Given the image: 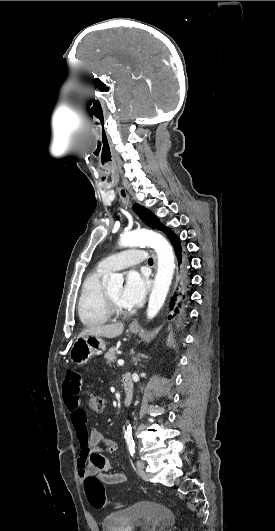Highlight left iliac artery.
<instances>
[{
	"mask_svg": "<svg viewBox=\"0 0 275 531\" xmlns=\"http://www.w3.org/2000/svg\"><path fill=\"white\" fill-rule=\"evenodd\" d=\"M127 447L130 455L133 457L135 454V443L132 439L127 440Z\"/></svg>",
	"mask_w": 275,
	"mask_h": 531,
	"instance_id": "left-iliac-artery-1",
	"label": "left iliac artery"
}]
</instances>
